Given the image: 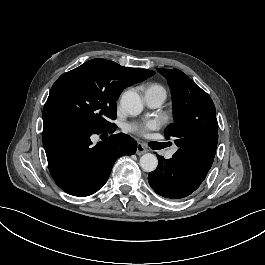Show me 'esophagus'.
Returning a JSON list of instances; mask_svg holds the SVG:
<instances>
[{
  "instance_id": "34e87169",
  "label": "esophagus",
  "mask_w": 265,
  "mask_h": 265,
  "mask_svg": "<svg viewBox=\"0 0 265 265\" xmlns=\"http://www.w3.org/2000/svg\"><path fill=\"white\" fill-rule=\"evenodd\" d=\"M146 152H148V149L142 143L139 142L137 144L136 154L140 156V155H143Z\"/></svg>"
}]
</instances>
